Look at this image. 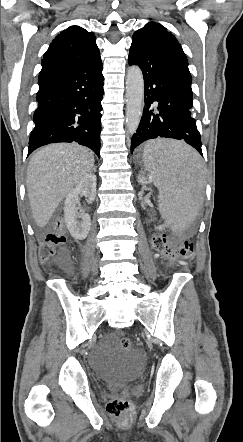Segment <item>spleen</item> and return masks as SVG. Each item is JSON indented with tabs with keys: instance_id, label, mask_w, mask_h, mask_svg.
Masks as SVG:
<instances>
[{
	"instance_id": "1",
	"label": "spleen",
	"mask_w": 243,
	"mask_h": 442,
	"mask_svg": "<svg viewBox=\"0 0 243 442\" xmlns=\"http://www.w3.org/2000/svg\"><path fill=\"white\" fill-rule=\"evenodd\" d=\"M141 168L160 189V214L174 226L173 237H184L187 219H196L202 202V162L198 153L180 141L152 140L145 144Z\"/></svg>"
}]
</instances>
